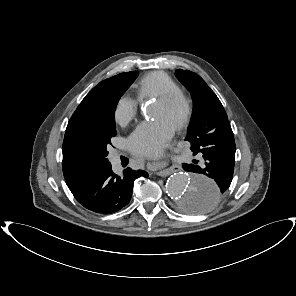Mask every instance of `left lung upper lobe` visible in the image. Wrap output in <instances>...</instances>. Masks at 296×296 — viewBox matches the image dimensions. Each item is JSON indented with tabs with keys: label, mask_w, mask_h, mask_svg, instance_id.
Here are the masks:
<instances>
[{
	"label": "left lung upper lobe",
	"mask_w": 296,
	"mask_h": 296,
	"mask_svg": "<svg viewBox=\"0 0 296 296\" xmlns=\"http://www.w3.org/2000/svg\"><path fill=\"white\" fill-rule=\"evenodd\" d=\"M175 75L191 92L193 99V113L185 140L190 142L196 155L206 147V135L229 122L228 117L218 97L200 76L182 69L176 70ZM193 203V200L188 201L182 209L192 212Z\"/></svg>",
	"instance_id": "obj_1"
}]
</instances>
